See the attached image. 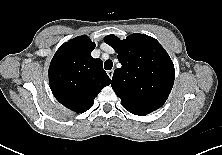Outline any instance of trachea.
Returning <instances> with one entry per match:
<instances>
[{"mask_svg":"<svg viewBox=\"0 0 222 155\" xmlns=\"http://www.w3.org/2000/svg\"><path fill=\"white\" fill-rule=\"evenodd\" d=\"M113 67V62L111 60H107L105 63H104V68L106 70H111Z\"/></svg>","mask_w":222,"mask_h":155,"instance_id":"3493384b","label":"trachea"}]
</instances>
